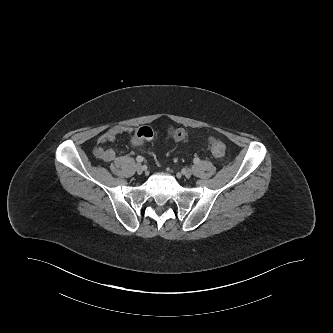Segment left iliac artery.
I'll use <instances>...</instances> for the list:
<instances>
[{"label": "left iliac artery", "instance_id": "1", "mask_svg": "<svg viewBox=\"0 0 333 333\" xmlns=\"http://www.w3.org/2000/svg\"><path fill=\"white\" fill-rule=\"evenodd\" d=\"M193 162H194L195 164H197V163L200 162V159L196 157V158H194Z\"/></svg>", "mask_w": 333, "mask_h": 333}]
</instances>
